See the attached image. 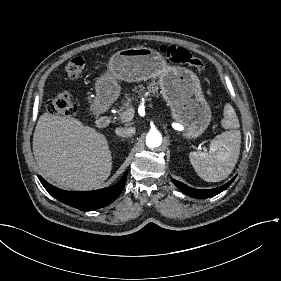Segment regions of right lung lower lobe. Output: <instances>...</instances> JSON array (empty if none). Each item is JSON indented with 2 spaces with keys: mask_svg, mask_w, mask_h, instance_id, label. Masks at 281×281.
<instances>
[{
  "mask_svg": "<svg viewBox=\"0 0 281 281\" xmlns=\"http://www.w3.org/2000/svg\"><path fill=\"white\" fill-rule=\"evenodd\" d=\"M126 178L127 171L120 181L113 186L94 191L73 192L61 190L39 176L40 182L49 194L57 200L82 211L102 208L112 203L124 189Z\"/></svg>",
  "mask_w": 281,
  "mask_h": 281,
  "instance_id": "obj_1",
  "label": "right lung lower lobe"
}]
</instances>
